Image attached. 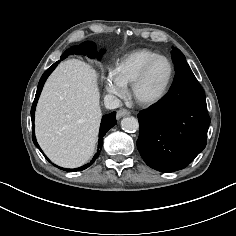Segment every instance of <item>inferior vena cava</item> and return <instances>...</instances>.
<instances>
[{
    "mask_svg": "<svg viewBox=\"0 0 236 236\" xmlns=\"http://www.w3.org/2000/svg\"><path fill=\"white\" fill-rule=\"evenodd\" d=\"M104 105L107 109H116L121 106V102L114 95L108 94L104 97Z\"/></svg>",
    "mask_w": 236,
    "mask_h": 236,
    "instance_id": "inferior-vena-cava-1",
    "label": "inferior vena cava"
}]
</instances>
